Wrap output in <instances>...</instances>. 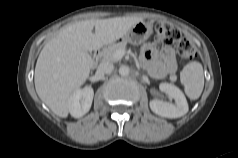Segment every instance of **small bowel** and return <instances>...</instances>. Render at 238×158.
Instances as JSON below:
<instances>
[{
	"label": "small bowel",
	"mask_w": 238,
	"mask_h": 158,
	"mask_svg": "<svg viewBox=\"0 0 238 158\" xmlns=\"http://www.w3.org/2000/svg\"><path fill=\"white\" fill-rule=\"evenodd\" d=\"M141 65L156 79L172 76L177 71V63L171 48L158 50L155 46L145 44L140 56Z\"/></svg>",
	"instance_id": "small-bowel-1"
}]
</instances>
